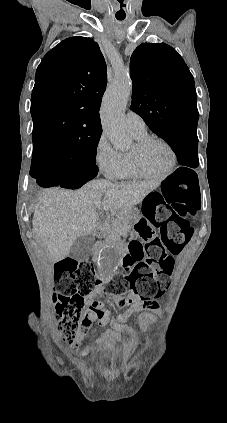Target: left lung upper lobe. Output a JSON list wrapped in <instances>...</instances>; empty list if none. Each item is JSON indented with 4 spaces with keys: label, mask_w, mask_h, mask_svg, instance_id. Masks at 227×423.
<instances>
[{
    "label": "left lung upper lobe",
    "mask_w": 227,
    "mask_h": 423,
    "mask_svg": "<svg viewBox=\"0 0 227 423\" xmlns=\"http://www.w3.org/2000/svg\"><path fill=\"white\" fill-rule=\"evenodd\" d=\"M131 110L167 143L197 135L194 78L179 53L165 43H143L130 60Z\"/></svg>",
    "instance_id": "left-lung-upper-lobe-1"
}]
</instances>
